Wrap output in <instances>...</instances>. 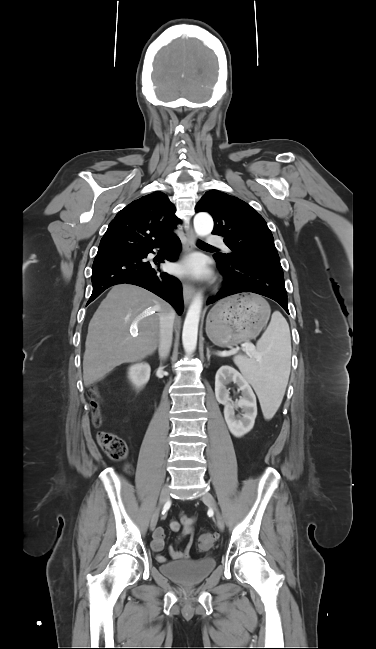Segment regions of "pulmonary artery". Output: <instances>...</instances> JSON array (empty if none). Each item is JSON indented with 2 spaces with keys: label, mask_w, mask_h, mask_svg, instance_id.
<instances>
[{
  "label": "pulmonary artery",
  "mask_w": 376,
  "mask_h": 649,
  "mask_svg": "<svg viewBox=\"0 0 376 649\" xmlns=\"http://www.w3.org/2000/svg\"><path fill=\"white\" fill-rule=\"evenodd\" d=\"M206 242L211 246H220L226 248V245L223 242V239L219 236L209 235L206 239Z\"/></svg>",
  "instance_id": "obj_1"
}]
</instances>
